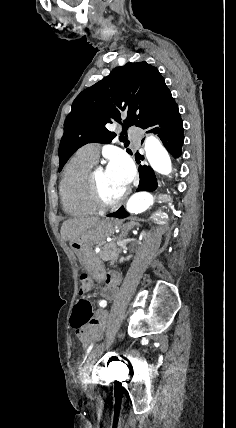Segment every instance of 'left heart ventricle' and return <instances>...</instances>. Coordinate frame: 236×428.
I'll list each match as a JSON object with an SVG mask.
<instances>
[{
  "mask_svg": "<svg viewBox=\"0 0 236 428\" xmlns=\"http://www.w3.org/2000/svg\"><path fill=\"white\" fill-rule=\"evenodd\" d=\"M100 187L107 199L116 200L126 191L128 185L122 178L106 169L100 176Z\"/></svg>",
  "mask_w": 236,
  "mask_h": 428,
  "instance_id": "b2bd125f",
  "label": "left heart ventricle"
}]
</instances>
